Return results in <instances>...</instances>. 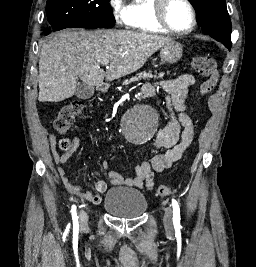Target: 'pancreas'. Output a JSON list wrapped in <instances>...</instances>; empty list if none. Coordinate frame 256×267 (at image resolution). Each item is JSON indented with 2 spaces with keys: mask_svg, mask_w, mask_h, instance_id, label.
Listing matches in <instances>:
<instances>
[{
  "mask_svg": "<svg viewBox=\"0 0 256 267\" xmlns=\"http://www.w3.org/2000/svg\"><path fill=\"white\" fill-rule=\"evenodd\" d=\"M151 74H145V76H138V78H150ZM164 74H159L158 78H162ZM157 78V76H155ZM124 84H128V82H124Z\"/></svg>",
  "mask_w": 256,
  "mask_h": 267,
  "instance_id": "pancreas-1",
  "label": "pancreas"
}]
</instances>
